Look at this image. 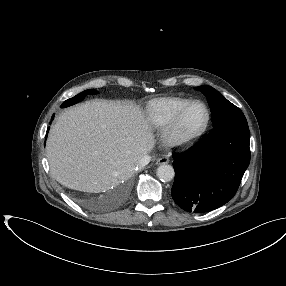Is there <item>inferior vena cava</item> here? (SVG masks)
<instances>
[{
  "mask_svg": "<svg viewBox=\"0 0 286 286\" xmlns=\"http://www.w3.org/2000/svg\"><path fill=\"white\" fill-rule=\"evenodd\" d=\"M150 161V156L144 155L138 162L137 167L142 168L146 166Z\"/></svg>",
  "mask_w": 286,
  "mask_h": 286,
  "instance_id": "obj_1",
  "label": "inferior vena cava"
}]
</instances>
